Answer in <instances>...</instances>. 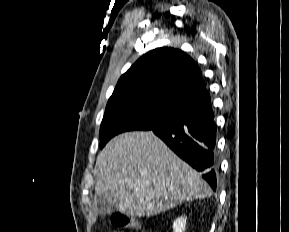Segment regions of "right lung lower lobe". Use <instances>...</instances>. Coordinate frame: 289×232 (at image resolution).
<instances>
[{
	"label": "right lung lower lobe",
	"instance_id": "right-lung-lower-lobe-1",
	"mask_svg": "<svg viewBox=\"0 0 289 232\" xmlns=\"http://www.w3.org/2000/svg\"><path fill=\"white\" fill-rule=\"evenodd\" d=\"M151 130L179 157L203 172V178L216 190V124L211 102L184 109L175 119Z\"/></svg>",
	"mask_w": 289,
	"mask_h": 232
}]
</instances>
